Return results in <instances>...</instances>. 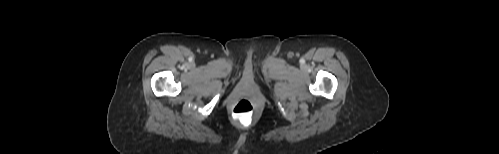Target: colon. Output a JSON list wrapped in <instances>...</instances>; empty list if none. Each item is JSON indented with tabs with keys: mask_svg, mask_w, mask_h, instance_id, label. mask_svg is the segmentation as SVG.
I'll return each mask as SVG.
<instances>
[{
	"mask_svg": "<svg viewBox=\"0 0 499 154\" xmlns=\"http://www.w3.org/2000/svg\"><path fill=\"white\" fill-rule=\"evenodd\" d=\"M255 106L248 99L239 100L232 108V117L237 122L248 125L254 115Z\"/></svg>",
	"mask_w": 499,
	"mask_h": 154,
	"instance_id": "obj_1",
	"label": "colon"
}]
</instances>
